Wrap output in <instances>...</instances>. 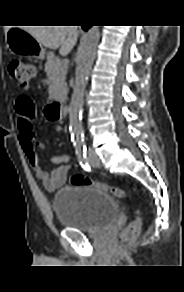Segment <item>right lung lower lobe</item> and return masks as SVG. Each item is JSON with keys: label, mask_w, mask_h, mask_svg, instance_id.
<instances>
[{"label": "right lung lower lobe", "mask_w": 184, "mask_h": 292, "mask_svg": "<svg viewBox=\"0 0 184 292\" xmlns=\"http://www.w3.org/2000/svg\"><path fill=\"white\" fill-rule=\"evenodd\" d=\"M82 28H83L85 31H87V30L90 28V26H88V25H82Z\"/></svg>", "instance_id": "obj_1"}]
</instances>
